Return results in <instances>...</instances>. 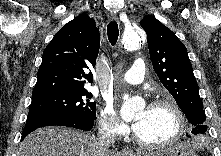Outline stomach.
<instances>
[{
	"mask_svg": "<svg viewBox=\"0 0 221 156\" xmlns=\"http://www.w3.org/2000/svg\"><path fill=\"white\" fill-rule=\"evenodd\" d=\"M154 156H197V154L186 146L175 145L160 149Z\"/></svg>",
	"mask_w": 221,
	"mask_h": 156,
	"instance_id": "obj_1",
	"label": "stomach"
}]
</instances>
